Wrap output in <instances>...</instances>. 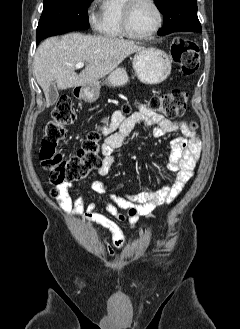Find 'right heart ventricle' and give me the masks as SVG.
Here are the masks:
<instances>
[{
  "label": "right heart ventricle",
  "mask_w": 240,
  "mask_h": 329,
  "mask_svg": "<svg viewBox=\"0 0 240 329\" xmlns=\"http://www.w3.org/2000/svg\"><path fill=\"white\" fill-rule=\"evenodd\" d=\"M126 0H102L100 14L96 22L97 31L105 38L127 37L122 31V10Z\"/></svg>",
  "instance_id": "obj_1"
}]
</instances>
